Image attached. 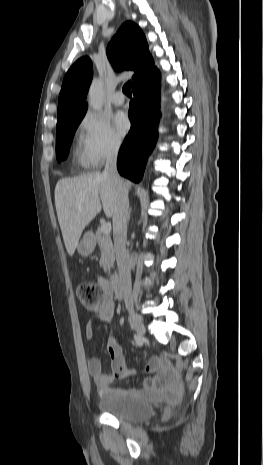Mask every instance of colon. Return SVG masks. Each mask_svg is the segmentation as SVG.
<instances>
[{
  "label": "colon",
  "mask_w": 263,
  "mask_h": 465,
  "mask_svg": "<svg viewBox=\"0 0 263 465\" xmlns=\"http://www.w3.org/2000/svg\"><path fill=\"white\" fill-rule=\"evenodd\" d=\"M105 289L93 282L82 283L78 288V298L86 308L97 306L104 298Z\"/></svg>",
  "instance_id": "1"
}]
</instances>
